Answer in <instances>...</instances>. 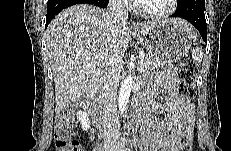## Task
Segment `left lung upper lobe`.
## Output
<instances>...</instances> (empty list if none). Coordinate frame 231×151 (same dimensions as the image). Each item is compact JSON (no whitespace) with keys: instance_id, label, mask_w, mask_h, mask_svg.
<instances>
[{"instance_id":"1","label":"left lung upper lobe","mask_w":231,"mask_h":151,"mask_svg":"<svg viewBox=\"0 0 231 151\" xmlns=\"http://www.w3.org/2000/svg\"><path fill=\"white\" fill-rule=\"evenodd\" d=\"M181 2H182V0H179V1H178V5H179Z\"/></svg>"}]
</instances>
